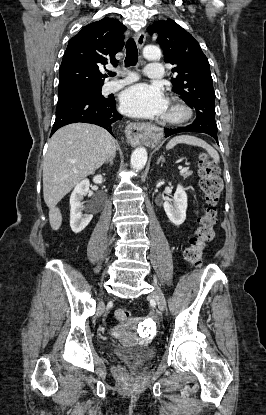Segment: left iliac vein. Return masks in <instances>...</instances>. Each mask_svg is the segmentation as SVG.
<instances>
[{
    "mask_svg": "<svg viewBox=\"0 0 266 415\" xmlns=\"http://www.w3.org/2000/svg\"><path fill=\"white\" fill-rule=\"evenodd\" d=\"M152 296L156 300L158 308L164 310L166 308V300H165L163 292L156 284H154V290L152 292Z\"/></svg>",
    "mask_w": 266,
    "mask_h": 415,
    "instance_id": "4c4485c4",
    "label": "left iliac vein"
}]
</instances>
